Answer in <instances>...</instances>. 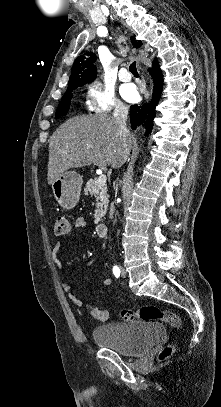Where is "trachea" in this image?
Masks as SVG:
<instances>
[{
  "instance_id": "trachea-1",
  "label": "trachea",
  "mask_w": 221,
  "mask_h": 407,
  "mask_svg": "<svg viewBox=\"0 0 221 407\" xmlns=\"http://www.w3.org/2000/svg\"><path fill=\"white\" fill-rule=\"evenodd\" d=\"M129 70H130V72H131L132 74L138 75L137 68H136V62H133V63L130 65Z\"/></svg>"
}]
</instances>
